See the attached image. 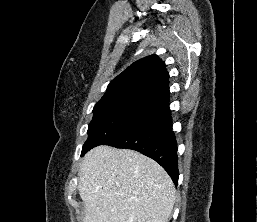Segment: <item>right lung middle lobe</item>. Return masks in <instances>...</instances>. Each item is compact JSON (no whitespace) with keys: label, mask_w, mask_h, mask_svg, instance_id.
<instances>
[{"label":"right lung middle lobe","mask_w":257,"mask_h":222,"mask_svg":"<svg viewBox=\"0 0 257 222\" xmlns=\"http://www.w3.org/2000/svg\"><path fill=\"white\" fill-rule=\"evenodd\" d=\"M162 108L156 103L142 99L100 100L93 109L94 115L88 127V139L83 145L82 155L135 127Z\"/></svg>","instance_id":"1"}]
</instances>
